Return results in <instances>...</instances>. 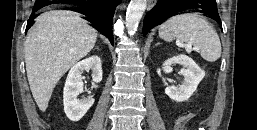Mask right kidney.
I'll return each mask as SVG.
<instances>
[{"instance_id":"obj_1","label":"right kidney","mask_w":257,"mask_h":130,"mask_svg":"<svg viewBox=\"0 0 257 130\" xmlns=\"http://www.w3.org/2000/svg\"><path fill=\"white\" fill-rule=\"evenodd\" d=\"M92 70V81L102 80L101 59L94 55L75 64L68 73L64 90L63 104L66 116L74 122L79 121L94 104V98L88 96L79 100L77 97L83 91L82 73Z\"/></svg>"}]
</instances>
